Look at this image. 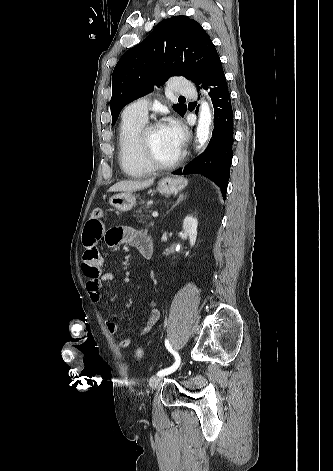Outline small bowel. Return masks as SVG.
Listing matches in <instances>:
<instances>
[{
	"mask_svg": "<svg viewBox=\"0 0 333 471\" xmlns=\"http://www.w3.org/2000/svg\"><path fill=\"white\" fill-rule=\"evenodd\" d=\"M146 238L149 237L145 232L132 227L118 226L106 230L101 217L98 219L90 217L87 220L83 232L85 250L82 258V270L88 277L87 290L93 302H100L102 300L101 290L103 285L112 283L115 280L113 272L103 270V258L98 249L99 242L104 239L110 247L129 245L139 250ZM150 305L151 312L140 335L147 334L160 318L157 301L152 300ZM105 326L112 334L119 331L118 325L111 320H105ZM119 345L122 348H128L131 345V339L128 337L123 338L120 340Z\"/></svg>",
	"mask_w": 333,
	"mask_h": 471,
	"instance_id": "obj_1",
	"label": "small bowel"
}]
</instances>
